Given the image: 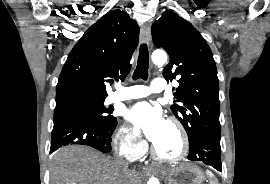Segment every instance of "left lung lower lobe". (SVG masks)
I'll use <instances>...</instances> for the list:
<instances>
[{"mask_svg": "<svg viewBox=\"0 0 270 184\" xmlns=\"http://www.w3.org/2000/svg\"><path fill=\"white\" fill-rule=\"evenodd\" d=\"M191 161H200L210 165L218 171H222L220 136L200 134L189 144Z\"/></svg>", "mask_w": 270, "mask_h": 184, "instance_id": "left-lung-lower-lobe-1", "label": "left lung lower lobe"}]
</instances>
